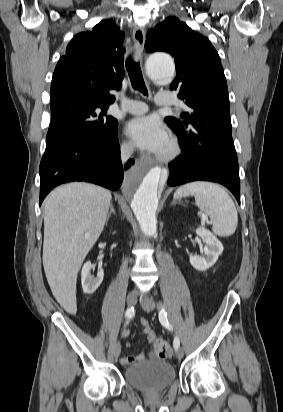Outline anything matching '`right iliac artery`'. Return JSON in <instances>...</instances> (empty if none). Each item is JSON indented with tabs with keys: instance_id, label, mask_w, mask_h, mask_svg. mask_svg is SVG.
Returning a JSON list of instances; mask_svg holds the SVG:
<instances>
[{
	"instance_id": "right-iliac-artery-1",
	"label": "right iliac artery",
	"mask_w": 283,
	"mask_h": 412,
	"mask_svg": "<svg viewBox=\"0 0 283 412\" xmlns=\"http://www.w3.org/2000/svg\"><path fill=\"white\" fill-rule=\"evenodd\" d=\"M134 315H135V309H134V307L128 308V309L126 310V312H125V316H126V318H127L128 320L131 319Z\"/></svg>"
}]
</instances>
